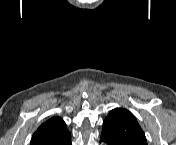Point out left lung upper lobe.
Instances as JSON below:
<instances>
[{"instance_id": "obj_1", "label": "left lung upper lobe", "mask_w": 176, "mask_h": 145, "mask_svg": "<svg viewBox=\"0 0 176 145\" xmlns=\"http://www.w3.org/2000/svg\"><path fill=\"white\" fill-rule=\"evenodd\" d=\"M111 145H147L135 116L126 109H113L103 122L101 133Z\"/></svg>"}]
</instances>
